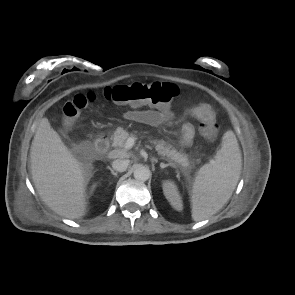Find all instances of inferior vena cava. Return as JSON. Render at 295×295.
<instances>
[{"label": "inferior vena cava", "instance_id": "inferior-vena-cava-1", "mask_svg": "<svg viewBox=\"0 0 295 295\" xmlns=\"http://www.w3.org/2000/svg\"><path fill=\"white\" fill-rule=\"evenodd\" d=\"M129 165L128 159H116L112 162V167L118 172L126 171Z\"/></svg>", "mask_w": 295, "mask_h": 295}]
</instances>
